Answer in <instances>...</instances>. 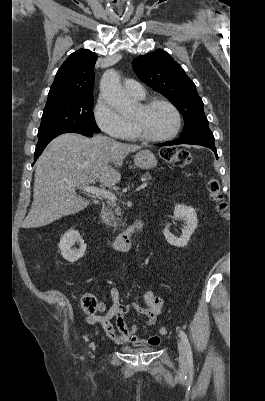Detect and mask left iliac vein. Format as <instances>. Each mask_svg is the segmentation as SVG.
Returning a JSON list of instances; mask_svg holds the SVG:
<instances>
[{"mask_svg": "<svg viewBox=\"0 0 265 401\" xmlns=\"http://www.w3.org/2000/svg\"><path fill=\"white\" fill-rule=\"evenodd\" d=\"M177 345L179 351V361L181 364H184V366H186V350L184 344L181 340H178Z\"/></svg>", "mask_w": 265, "mask_h": 401, "instance_id": "left-iliac-vein-1", "label": "left iliac vein"}]
</instances>
